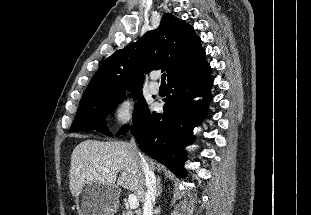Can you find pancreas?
Listing matches in <instances>:
<instances>
[{"instance_id":"pancreas-1","label":"pancreas","mask_w":311,"mask_h":215,"mask_svg":"<svg viewBox=\"0 0 311 215\" xmlns=\"http://www.w3.org/2000/svg\"><path fill=\"white\" fill-rule=\"evenodd\" d=\"M122 215H134L132 211L127 210L122 213Z\"/></svg>"}]
</instances>
